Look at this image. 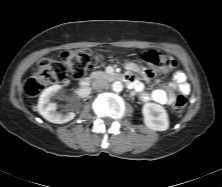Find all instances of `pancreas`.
I'll use <instances>...</instances> for the list:
<instances>
[{"label":"pancreas","instance_id":"1","mask_svg":"<svg viewBox=\"0 0 222 187\" xmlns=\"http://www.w3.org/2000/svg\"><path fill=\"white\" fill-rule=\"evenodd\" d=\"M105 78V79H112L115 77L114 74H108L106 72H103V71H96V72H93L91 74V78Z\"/></svg>","mask_w":222,"mask_h":187}]
</instances>
